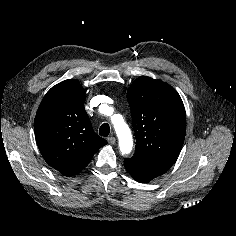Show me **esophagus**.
<instances>
[{
    "instance_id": "esophagus-1",
    "label": "esophagus",
    "mask_w": 236,
    "mask_h": 236,
    "mask_svg": "<svg viewBox=\"0 0 236 236\" xmlns=\"http://www.w3.org/2000/svg\"><path fill=\"white\" fill-rule=\"evenodd\" d=\"M107 141H108L109 144L113 145L116 142V138L113 137V136H110V137L107 138Z\"/></svg>"
}]
</instances>
